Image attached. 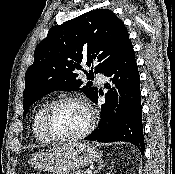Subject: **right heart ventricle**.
Instances as JSON below:
<instances>
[{"instance_id": "e07e8e85", "label": "right heart ventricle", "mask_w": 175, "mask_h": 174, "mask_svg": "<svg viewBox=\"0 0 175 174\" xmlns=\"http://www.w3.org/2000/svg\"><path fill=\"white\" fill-rule=\"evenodd\" d=\"M50 104V101L43 102L36 110L32 121V131L34 137L39 143L42 144L52 142V140L47 136L43 128V117Z\"/></svg>"}]
</instances>
